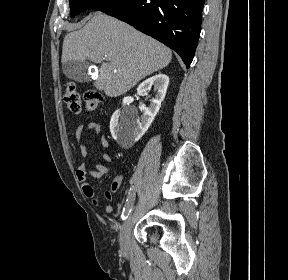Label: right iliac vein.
<instances>
[{"mask_svg":"<svg viewBox=\"0 0 288 280\" xmlns=\"http://www.w3.org/2000/svg\"><path fill=\"white\" fill-rule=\"evenodd\" d=\"M133 219H134V212L132 210L129 213L125 222L123 223L121 232H120V248L123 252H127L129 250L130 231H131Z\"/></svg>","mask_w":288,"mask_h":280,"instance_id":"63e3f726","label":"right iliac vein"}]
</instances>
